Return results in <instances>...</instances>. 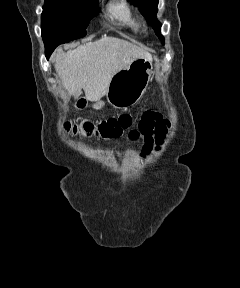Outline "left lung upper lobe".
Returning a JSON list of instances; mask_svg holds the SVG:
<instances>
[{
    "label": "left lung upper lobe",
    "mask_w": 240,
    "mask_h": 288,
    "mask_svg": "<svg viewBox=\"0 0 240 288\" xmlns=\"http://www.w3.org/2000/svg\"><path fill=\"white\" fill-rule=\"evenodd\" d=\"M132 1L134 4H136L144 17L147 19L150 25L153 26V28L156 30V35L162 40V43L164 44V37L161 35L160 29L161 24L156 19V13L158 11L157 5L158 0H129Z\"/></svg>",
    "instance_id": "left-lung-upper-lobe-1"
}]
</instances>
